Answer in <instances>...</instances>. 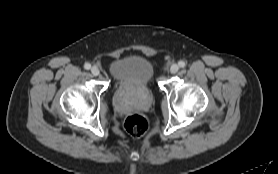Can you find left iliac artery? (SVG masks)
<instances>
[{
	"label": "left iliac artery",
	"mask_w": 278,
	"mask_h": 174,
	"mask_svg": "<svg viewBox=\"0 0 278 174\" xmlns=\"http://www.w3.org/2000/svg\"><path fill=\"white\" fill-rule=\"evenodd\" d=\"M178 65L183 68V67H185V62L184 61H179Z\"/></svg>",
	"instance_id": "left-iliac-artery-1"
}]
</instances>
